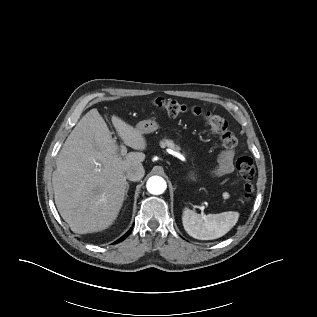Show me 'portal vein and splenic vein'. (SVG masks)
<instances>
[{"label":"portal vein and splenic vein","instance_id":"obj_1","mask_svg":"<svg viewBox=\"0 0 317 317\" xmlns=\"http://www.w3.org/2000/svg\"><path fill=\"white\" fill-rule=\"evenodd\" d=\"M127 153V148L124 145H121V155L124 156ZM170 154L177 156L176 152L171 151Z\"/></svg>","mask_w":317,"mask_h":317}]
</instances>
